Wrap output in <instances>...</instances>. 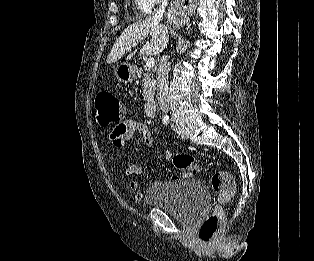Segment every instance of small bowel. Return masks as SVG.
Listing matches in <instances>:
<instances>
[{
	"instance_id": "c3829d8e",
	"label": "small bowel",
	"mask_w": 314,
	"mask_h": 261,
	"mask_svg": "<svg viewBox=\"0 0 314 261\" xmlns=\"http://www.w3.org/2000/svg\"><path fill=\"white\" fill-rule=\"evenodd\" d=\"M136 133H139L142 136L146 147H153L154 140L148 126L133 119H129L118 125L113 130V133H107V140H112L114 145L123 147L128 144ZM167 157H170L169 153L167 154ZM125 173L128 176H139L144 173V168L136 164H129L125 169ZM128 187L129 190L134 193V199L136 201H140L143 198L142 192L139 191V183L137 180L131 179L128 183Z\"/></svg>"
}]
</instances>
